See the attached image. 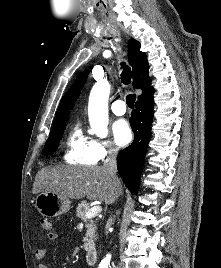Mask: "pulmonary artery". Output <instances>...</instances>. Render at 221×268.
<instances>
[{
  "label": "pulmonary artery",
  "instance_id": "e3ab8cb5",
  "mask_svg": "<svg viewBox=\"0 0 221 268\" xmlns=\"http://www.w3.org/2000/svg\"><path fill=\"white\" fill-rule=\"evenodd\" d=\"M112 112L117 116H122L126 113V104L123 100H116L111 105Z\"/></svg>",
  "mask_w": 221,
  "mask_h": 268
}]
</instances>
